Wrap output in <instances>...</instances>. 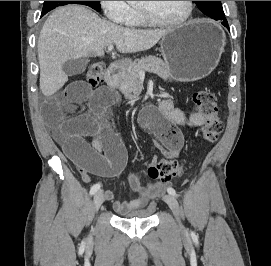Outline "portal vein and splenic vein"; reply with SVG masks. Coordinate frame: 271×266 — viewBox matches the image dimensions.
<instances>
[{
  "instance_id": "1",
  "label": "portal vein and splenic vein",
  "mask_w": 271,
  "mask_h": 266,
  "mask_svg": "<svg viewBox=\"0 0 271 266\" xmlns=\"http://www.w3.org/2000/svg\"><path fill=\"white\" fill-rule=\"evenodd\" d=\"M113 50V45L108 46V51L111 52ZM140 74H144L143 71H140Z\"/></svg>"
}]
</instances>
